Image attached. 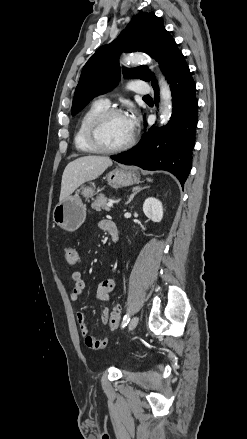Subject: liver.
<instances>
[{
  "mask_svg": "<svg viewBox=\"0 0 247 439\" xmlns=\"http://www.w3.org/2000/svg\"><path fill=\"white\" fill-rule=\"evenodd\" d=\"M111 165L112 160L109 157L94 155L80 157L68 163L62 175L59 201L62 202L83 183L98 178Z\"/></svg>",
  "mask_w": 247,
  "mask_h": 439,
  "instance_id": "6515ba94",
  "label": "liver"
}]
</instances>
